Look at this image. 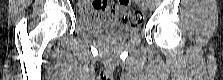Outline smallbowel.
Instances as JSON below:
<instances>
[{
	"label": "small bowel",
	"instance_id": "obj_1",
	"mask_svg": "<svg viewBox=\"0 0 223 80\" xmlns=\"http://www.w3.org/2000/svg\"><path fill=\"white\" fill-rule=\"evenodd\" d=\"M81 12L88 16H101L109 19H115L121 15L117 3L110 6L107 2L85 3L81 6Z\"/></svg>",
	"mask_w": 223,
	"mask_h": 80
}]
</instances>
